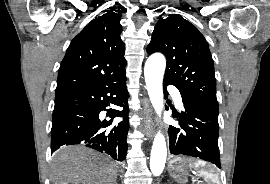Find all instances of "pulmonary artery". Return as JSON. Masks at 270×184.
Wrapping results in <instances>:
<instances>
[{
    "label": "pulmonary artery",
    "instance_id": "1",
    "mask_svg": "<svg viewBox=\"0 0 270 184\" xmlns=\"http://www.w3.org/2000/svg\"><path fill=\"white\" fill-rule=\"evenodd\" d=\"M170 91L173 94L176 106L181 109L183 107V103L179 92L174 87H170Z\"/></svg>",
    "mask_w": 270,
    "mask_h": 184
}]
</instances>
